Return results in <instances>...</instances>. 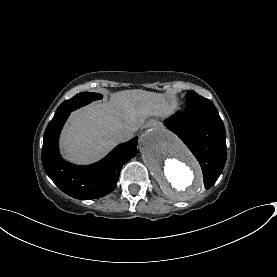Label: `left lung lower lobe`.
<instances>
[{"label": "left lung lower lobe", "mask_w": 277, "mask_h": 277, "mask_svg": "<svg viewBox=\"0 0 277 277\" xmlns=\"http://www.w3.org/2000/svg\"><path fill=\"white\" fill-rule=\"evenodd\" d=\"M190 149L203 171L206 189L220 176L227 156L226 133L220 116L174 114L164 122Z\"/></svg>", "instance_id": "obj_1"}]
</instances>
